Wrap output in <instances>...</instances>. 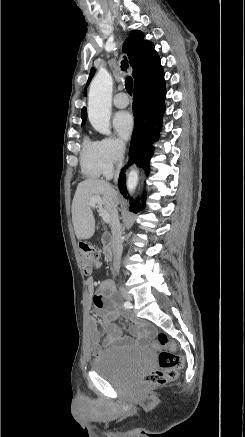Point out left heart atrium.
<instances>
[{
	"label": "left heart atrium",
	"mask_w": 245,
	"mask_h": 437,
	"mask_svg": "<svg viewBox=\"0 0 245 437\" xmlns=\"http://www.w3.org/2000/svg\"><path fill=\"white\" fill-rule=\"evenodd\" d=\"M113 126L117 134L122 139L127 140L131 136L134 129L133 116L127 111L119 112L113 119Z\"/></svg>",
	"instance_id": "39dd6f15"
}]
</instances>
